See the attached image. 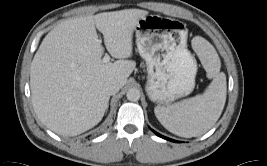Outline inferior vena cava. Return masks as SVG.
I'll return each mask as SVG.
<instances>
[{
	"instance_id": "1",
	"label": "inferior vena cava",
	"mask_w": 267,
	"mask_h": 166,
	"mask_svg": "<svg viewBox=\"0 0 267 166\" xmlns=\"http://www.w3.org/2000/svg\"><path fill=\"white\" fill-rule=\"evenodd\" d=\"M121 86L117 81H108L105 85V90L109 95H114L119 92Z\"/></svg>"
}]
</instances>
